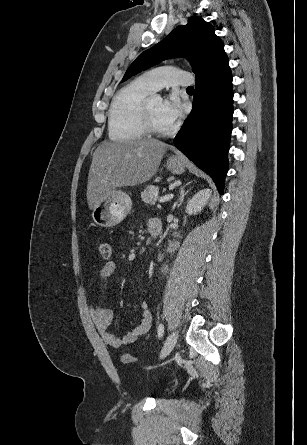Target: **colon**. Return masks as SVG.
Instances as JSON below:
<instances>
[{"label":"colon","instance_id":"obj_1","mask_svg":"<svg viewBox=\"0 0 307 445\" xmlns=\"http://www.w3.org/2000/svg\"><path fill=\"white\" fill-rule=\"evenodd\" d=\"M97 249L99 254L105 258L108 259L111 256L112 253V245L107 242V241H98L97 242ZM121 361L123 363H133L138 361V359L136 357H134L132 354L130 353H122L121 355Z\"/></svg>","mask_w":307,"mask_h":445}]
</instances>
